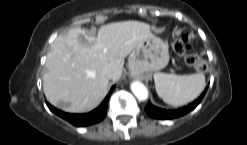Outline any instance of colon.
<instances>
[{"label":"colon","instance_id":"colon-1","mask_svg":"<svg viewBox=\"0 0 247 145\" xmlns=\"http://www.w3.org/2000/svg\"><path fill=\"white\" fill-rule=\"evenodd\" d=\"M173 49L187 65L192 66L202 72L208 69V64L194 54V46L190 42L188 34L183 35L181 38L175 39L173 41Z\"/></svg>","mask_w":247,"mask_h":145}]
</instances>
